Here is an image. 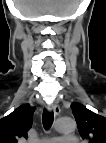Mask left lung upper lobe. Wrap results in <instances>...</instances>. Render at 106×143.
<instances>
[{
	"label": "left lung upper lobe",
	"mask_w": 106,
	"mask_h": 143,
	"mask_svg": "<svg viewBox=\"0 0 106 143\" xmlns=\"http://www.w3.org/2000/svg\"><path fill=\"white\" fill-rule=\"evenodd\" d=\"M71 108L81 137L89 143H106V118L78 102L73 103Z\"/></svg>",
	"instance_id": "5c2ea615"
}]
</instances>
